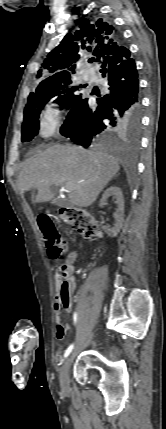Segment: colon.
Listing matches in <instances>:
<instances>
[{
  "mask_svg": "<svg viewBox=\"0 0 166 429\" xmlns=\"http://www.w3.org/2000/svg\"><path fill=\"white\" fill-rule=\"evenodd\" d=\"M59 219L86 238H93L100 235V226L96 217L84 208H62L59 211ZM38 225L44 236L48 255L52 259H59L65 251V242L52 219L47 215H41L38 217ZM63 290L65 293L70 291L68 282L64 283Z\"/></svg>",
  "mask_w": 166,
  "mask_h": 429,
  "instance_id": "obj_1",
  "label": "colon"
}]
</instances>
